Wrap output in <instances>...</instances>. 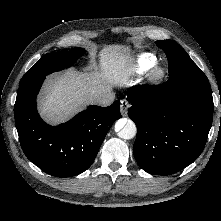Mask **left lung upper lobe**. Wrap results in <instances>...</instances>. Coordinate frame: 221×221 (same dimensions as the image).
<instances>
[{"label":"left lung upper lobe","mask_w":221,"mask_h":221,"mask_svg":"<svg viewBox=\"0 0 221 221\" xmlns=\"http://www.w3.org/2000/svg\"><path fill=\"white\" fill-rule=\"evenodd\" d=\"M156 45L163 49L169 63V75L202 73L199 67L191 60L186 51L172 40L156 41Z\"/></svg>","instance_id":"obj_1"}]
</instances>
